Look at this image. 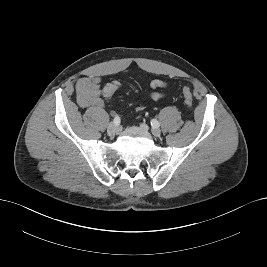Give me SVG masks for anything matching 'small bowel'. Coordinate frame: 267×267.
<instances>
[{"label": "small bowel", "mask_w": 267, "mask_h": 267, "mask_svg": "<svg viewBox=\"0 0 267 267\" xmlns=\"http://www.w3.org/2000/svg\"><path fill=\"white\" fill-rule=\"evenodd\" d=\"M151 97L159 100L163 97L162 89L167 87V83L163 80L155 79L150 83ZM77 103L82 108L87 107H103L104 99L101 93V78L97 76H88L80 78L76 82Z\"/></svg>", "instance_id": "small-bowel-1"}]
</instances>
